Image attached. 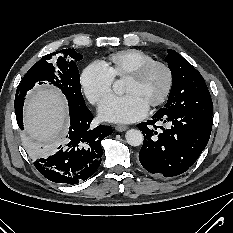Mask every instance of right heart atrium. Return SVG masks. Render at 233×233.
Segmentation results:
<instances>
[{"instance_id":"1","label":"right heart atrium","mask_w":233,"mask_h":233,"mask_svg":"<svg viewBox=\"0 0 233 233\" xmlns=\"http://www.w3.org/2000/svg\"><path fill=\"white\" fill-rule=\"evenodd\" d=\"M114 78L107 68L100 62L87 65L80 76L81 88L87 99L98 104L112 91Z\"/></svg>"}]
</instances>
